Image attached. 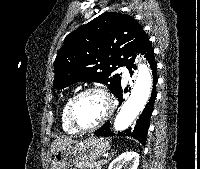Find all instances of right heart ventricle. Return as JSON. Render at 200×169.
<instances>
[{
  "mask_svg": "<svg viewBox=\"0 0 200 169\" xmlns=\"http://www.w3.org/2000/svg\"><path fill=\"white\" fill-rule=\"evenodd\" d=\"M72 97H73L72 93H69L65 96V98L62 101L61 115H60L62 129L70 134H74L77 132L71 125L68 118V105Z\"/></svg>",
  "mask_w": 200,
  "mask_h": 169,
  "instance_id": "1",
  "label": "right heart ventricle"
}]
</instances>
